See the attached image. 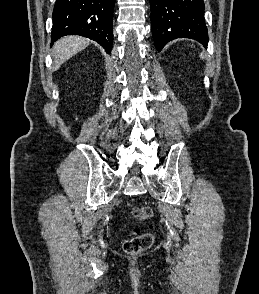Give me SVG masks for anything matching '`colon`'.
Returning <instances> with one entry per match:
<instances>
[{
	"mask_svg": "<svg viewBox=\"0 0 259 294\" xmlns=\"http://www.w3.org/2000/svg\"><path fill=\"white\" fill-rule=\"evenodd\" d=\"M132 217L143 222L151 218L152 211L147 206H136L131 211ZM153 244V235L150 232H141L137 227L132 229V235L123 245L124 251L129 254H138L147 250Z\"/></svg>",
	"mask_w": 259,
	"mask_h": 294,
	"instance_id": "5ec220e1",
	"label": "colon"
}]
</instances>
